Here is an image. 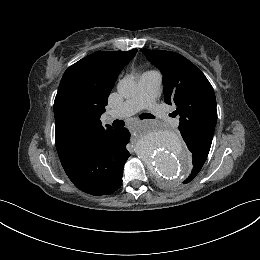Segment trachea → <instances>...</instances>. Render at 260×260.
Here are the masks:
<instances>
[{
  "mask_svg": "<svg viewBox=\"0 0 260 260\" xmlns=\"http://www.w3.org/2000/svg\"><path fill=\"white\" fill-rule=\"evenodd\" d=\"M141 119H152V118H155L152 114L150 113H143L141 116H140ZM124 126V121L123 120H115L113 122V127L115 129H120Z\"/></svg>",
  "mask_w": 260,
  "mask_h": 260,
  "instance_id": "1",
  "label": "trachea"
}]
</instances>
